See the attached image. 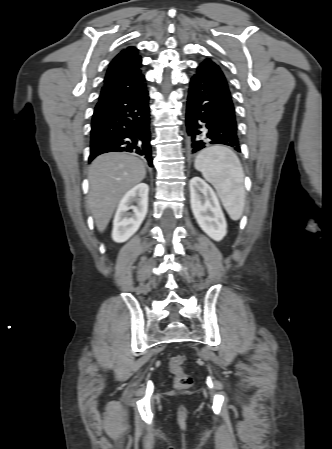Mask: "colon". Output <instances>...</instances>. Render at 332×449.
<instances>
[{"label": "colon", "mask_w": 332, "mask_h": 449, "mask_svg": "<svg viewBox=\"0 0 332 449\" xmlns=\"http://www.w3.org/2000/svg\"><path fill=\"white\" fill-rule=\"evenodd\" d=\"M184 361L185 359L182 355H176L169 362L170 371L176 378V386L181 389L188 388L192 384V377L183 369Z\"/></svg>", "instance_id": "obj_1"}]
</instances>
